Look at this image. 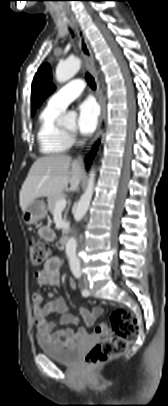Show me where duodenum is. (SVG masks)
<instances>
[{
    "label": "duodenum",
    "mask_w": 168,
    "mask_h": 406,
    "mask_svg": "<svg viewBox=\"0 0 168 406\" xmlns=\"http://www.w3.org/2000/svg\"><path fill=\"white\" fill-rule=\"evenodd\" d=\"M68 241H69L68 232H67V231H64L63 234H62V236H61V238H60V243H61L63 246H66V245L68 244Z\"/></svg>",
    "instance_id": "1"
}]
</instances>
